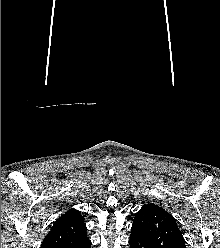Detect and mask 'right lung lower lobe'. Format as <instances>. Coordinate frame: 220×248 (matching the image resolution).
I'll use <instances>...</instances> for the list:
<instances>
[{"label": "right lung lower lobe", "mask_w": 220, "mask_h": 248, "mask_svg": "<svg viewBox=\"0 0 220 248\" xmlns=\"http://www.w3.org/2000/svg\"><path fill=\"white\" fill-rule=\"evenodd\" d=\"M90 247H91V241L87 240L85 242L73 246L72 248H90Z\"/></svg>", "instance_id": "1"}]
</instances>
